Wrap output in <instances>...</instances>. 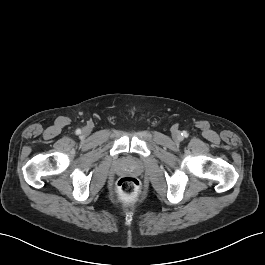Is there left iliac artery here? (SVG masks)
Returning a JSON list of instances; mask_svg holds the SVG:
<instances>
[{
  "mask_svg": "<svg viewBox=\"0 0 265 265\" xmlns=\"http://www.w3.org/2000/svg\"><path fill=\"white\" fill-rule=\"evenodd\" d=\"M182 135H184V137H186V136H187V133H186V132H184V133H182Z\"/></svg>",
  "mask_w": 265,
  "mask_h": 265,
  "instance_id": "44dca946",
  "label": "left iliac artery"
}]
</instances>
